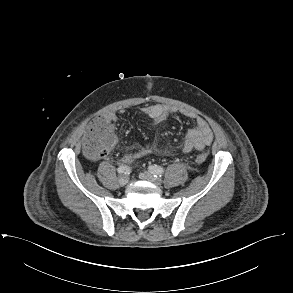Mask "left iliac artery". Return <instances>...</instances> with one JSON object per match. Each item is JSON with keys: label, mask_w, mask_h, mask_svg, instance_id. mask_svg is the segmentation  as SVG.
<instances>
[{"label": "left iliac artery", "mask_w": 293, "mask_h": 293, "mask_svg": "<svg viewBox=\"0 0 293 293\" xmlns=\"http://www.w3.org/2000/svg\"><path fill=\"white\" fill-rule=\"evenodd\" d=\"M148 170L154 174L155 177H161L164 174V169L158 165H151L148 167Z\"/></svg>", "instance_id": "left-iliac-artery-1"}]
</instances>
